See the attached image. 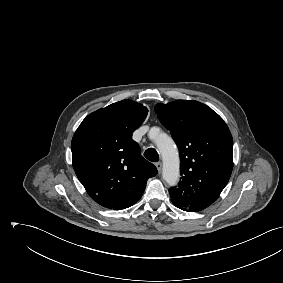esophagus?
Listing matches in <instances>:
<instances>
[{"label":"esophagus","mask_w":283,"mask_h":283,"mask_svg":"<svg viewBox=\"0 0 283 283\" xmlns=\"http://www.w3.org/2000/svg\"><path fill=\"white\" fill-rule=\"evenodd\" d=\"M155 165H156V168H157L158 172L161 173V171H162V163L161 162H157Z\"/></svg>","instance_id":"34e87169"}]
</instances>
